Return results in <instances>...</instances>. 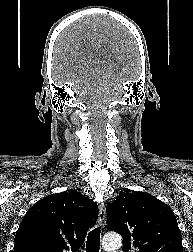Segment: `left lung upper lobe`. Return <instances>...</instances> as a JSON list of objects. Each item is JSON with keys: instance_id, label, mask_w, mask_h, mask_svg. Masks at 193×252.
<instances>
[{"instance_id": "5c2ea615", "label": "left lung upper lobe", "mask_w": 193, "mask_h": 252, "mask_svg": "<svg viewBox=\"0 0 193 252\" xmlns=\"http://www.w3.org/2000/svg\"><path fill=\"white\" fill-rule=\"evenodd\" d=\"M106 210L108 229L121 234L123 252H183L174 212L151 194L121 192Z\"/></svg>"}]
</instances>
